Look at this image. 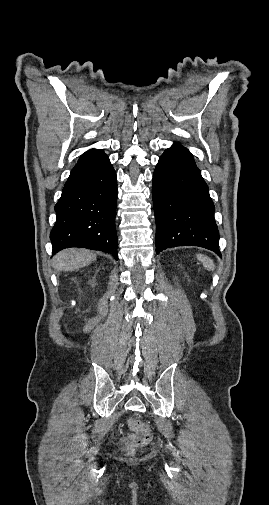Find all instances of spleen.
<instances>
[{
  "instance_id": "obj_1",
  "label": "spleen",
  "mask_w": 269,
  "mask_h": 505,
  "mask_svg": "<svg viewBox=\"0 0 269 505\" xmlns=\"http://www.w3.org/2000/svg\"><path fill=\"white\" fill-rule=\"evenodd\" d=\"M197 259L203 264V266L208 270H214L215 264L214 262L206 255L197 254Z\"/></svg>"
}]
</instances>
